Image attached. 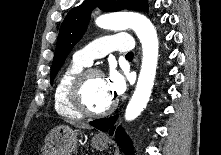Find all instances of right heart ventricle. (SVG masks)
<instances>
[{
	"mask_svg": "<svg viewBox=\"0 0 221 155\" xmlns=\"http://www.w3.org/2000/svg\"><path fill=\"white\" fill-rule=\"evenodd\" d=\"M86 65L74 60L59 76L54 89V107L56 112L67 118L79 119L82 117L75 111L68 101V88L73 78L82 71Z\"/></svg>",
	"mask_w": 221,
	"mask_h": 155,
	"instance_id": "right-heart-ventricle-1",
	"label": "right heart ventricle"
}]
</instances>
